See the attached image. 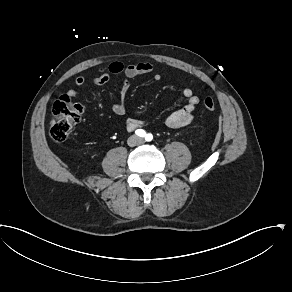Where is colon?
I'll use <instances>...</instances> for the list:
<instances>
[{
  "label": "colon",
  "mask_w": 292,
  "mask_h": 292,
  "mask_svg": "<svg viewBox=\"0 0 292 292\" xmlns=\"http://www.w3.org/2000/svg\"><path fill=\"white\" fill-rule=\"evenodd\" d=\"M204 109L212 112L216 108L215 99L208 96L203 101ZM84 115L81 104L71 100L67 95H60L52 108L50 135L57 142H63L73 127L79 124Z\"/></svg>",
  "instance_id": "obj_1"
}]
</instances>
